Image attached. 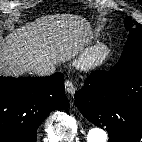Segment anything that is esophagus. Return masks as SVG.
Listing matches in <instances>:
<instances>
[{"mask_svg": "<svg viewBox=\"0 0 142 142\" xmlns=\"http://www.w3.org/2000/svg\"><path fill=\"white\" fill-rule=\"evenodd\" d=\"M65 89L69 94H74L75 93V84L71 80H66L65 81Z\"/></svg>", "mask_w": 142, "mask_h": 142, "instance_id": "34e87169", "label": "esophagus"}]
</instances>
